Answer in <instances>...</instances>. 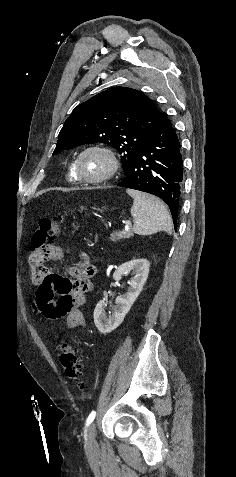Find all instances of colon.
<instances>
[{
    "mask_svg": "<svg viewBox=\"0 0 236 477\" xmlns=\"http://www.w3.org/2000/svg\"><path fill=\"white\" fill-rule=\"evenodd\" d=\"M63 229V220L43 218L37 225L30 243L29 263L31 275L34 280L42 276L43 263L53 256L55 249L50 245L52 240ZM60 363L65 375L73 381L77 387L85 392L87 385L83 380L82 356L76 349L64 343L59 356Z\"/></svg>",
    "mask_w": 236,
    "mask_h": 477,
    "instance_id": "obj_1",
    "label": "colon"
}]
</instances>
